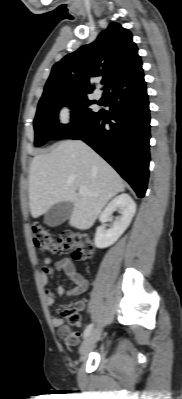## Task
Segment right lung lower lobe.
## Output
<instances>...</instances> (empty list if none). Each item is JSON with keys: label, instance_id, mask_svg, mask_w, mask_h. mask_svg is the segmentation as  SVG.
Listing matches in <instances>:
<instances>
[{"label": "right lung lower lobe", "instance_id": "98d812e1", "mask_svg": "<svg viewBox=\"0 0 182 399\" xmlns=\"http://www.w3.org/2000/svg\"><path fill=\"white\" fill-rule=\"evenodd\" d=\"M109 111H99L78 131L63 136L81 139L109 162L139 198L149 177L150 115L143 73L108 88Z\"/></svg>", "mask_w": 182, "mask_h": 399}]
</instances>
